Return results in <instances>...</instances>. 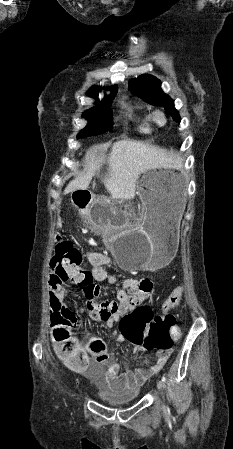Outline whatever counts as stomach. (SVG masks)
<instances>
[{
	"mask_svg": "<svg viewBox=\"0 0 233 449\" xmlns=\"http://www.w3.org/2000/svg\"><path fill=\"white\" fill-rule=\"evenodd\" d=\"M136 184L144 206L142 223H135L137 212H121L132 210V201L98 198L90 208L77 207L93 228L103 227L109 236L105 244L121 269L155 271L177 252L184 178L171 170H153L143 172Z\"/></svg>",
	"mask_w": 233,
	"mask_h": 449,
	"instance_id": "1",
	"label": "stomach"
}]
</instances>
